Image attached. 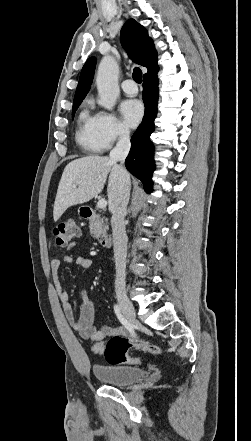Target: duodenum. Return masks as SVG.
<instances>
[{
  "label": "duodenum",
  "instance_id": "duodenum-1",
  "mask_svg": "<svg viewBox=\"0 0 251 441\" xmlns=\"http://www.w3.org/2000/svg\"><path fill=\"white\" fill-rule=\"evenodd\" d=\"M82 217L86 219H90L94 216V211L89 207H83L81 209ZM99 243L102 247L108 248L111 245V235L107 232H102L98 237Z\"/></svg>",
  "mask_w": 251,
  "mask_h": 441
}]
</instances>
